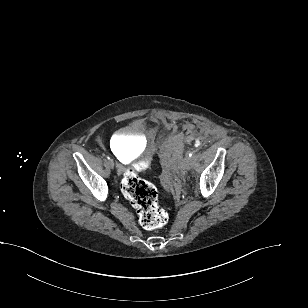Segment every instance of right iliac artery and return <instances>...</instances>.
Returning a JSON list of instances; mask_svg holds the SVG:
<instances>
[{"label":"right iliac artery","instance_id":"obj_1","mask_svg":"<svg viewBox=\"0 0 308 308\" xmlns=\"http://www.w3.org/2000/svg\"><path fill=\"white\" fill-rule=\"evenodd\" d=\"M107 159L109 160V159H110V157H109V156H107Z\"/></svg>","mask_w":308,"mask_h":308}]
</instances>
